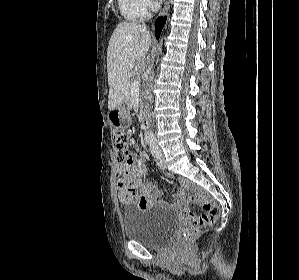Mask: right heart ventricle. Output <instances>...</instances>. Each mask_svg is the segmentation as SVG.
Instances as JSON below:
<instances>
[{
	"label": "right heart ventricle",
	"instance_id": "right-heart-ventricle-1",
	"mask_svg": "<svg viewBox=\"0 0 299 280\" xmlns=\"http://www.w3.org/2000/svg\"><path fill=\"white\" fill-rule=\"evenodd\" d=\"M118 4L122 16L127 20L138 21L148 15L141 0H118Z\"/></svg>",
	"mask_w": 299,
	"mask_h": 280
}]
</instances>
